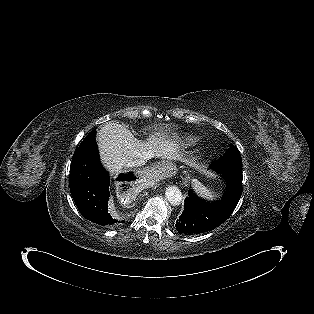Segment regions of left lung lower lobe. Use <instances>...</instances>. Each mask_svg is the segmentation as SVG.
<instances>
[{"label":"left lung lower lobe","mask_w":314,"mask_h":314,"mask_svg":"<svg viewBox=\"0 0 314 314\" xmlns=\"http://www.w3.org/2000/svg\"><path fill=\"white\" fill-rule=\"evenodd\" d=\"M214 169V168H213ZM224 179V196L216 202H206L190 190L184 211L175 227L180 233L195 234L213 230L225 222L234 211L242 194V169H214Z\"/></svg>","instance_id":"obj_1"}]
</instances>
